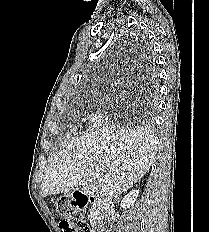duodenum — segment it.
Returning <instances> with one entry per match:
<instances>
[{"instance_id":"obj_1","label":"duodenum","mask_w":209,"mask_h":232,"mask_svg":"<svg viewBox=\"0 0 209 232\" xmlns=\"http://www.w3.org/2000/svg\"><path fill=\"white\" fill-rule=\"evenodd\" d=\"M74 197L77 199V205L80 208H84L88 204L92 205L94 210V232H105L109 227L106 202L99 197L88 196L82 191H76Z\"/></svg>"}]
</instances>
